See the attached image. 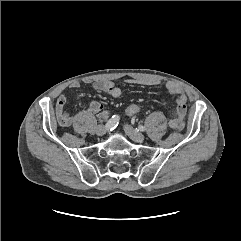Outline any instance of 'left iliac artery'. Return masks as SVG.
<instances>
[{
    "instance_id": "left-iliac-artery-1",
    "label": "left iliac artery",
    "mask_w": 241,
    "mask_h": 241,
    "mask_svg": "<svg viewBox=\"0 0 241 241\" xmlns=\"http://www.w3.org/2000/svg\"><path fill=\"white\" fill-rule=\"evenodd\" d=\"M138 128H139L140 131H144L145 130V127L142 126V125H140Z\"/></svg>"
}]
</instances>
